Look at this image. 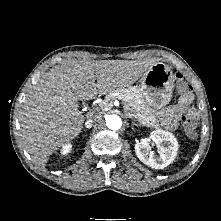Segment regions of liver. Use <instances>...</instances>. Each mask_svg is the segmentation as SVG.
<instances>
[{
    "instance_id": "obj_1",
    "label": "liver",
    "mask_w": 221,
    "mask_h": 221,
    "mask_svg": "<svg viewBox=\"0 0 221 221\" xmlns=\"http://www.w3.org/2000/svg\"><path fill=\"white\" fill-rule=\"evenodd\" d=\"M155 63L71 59L46 72L26 95L20 110V136L34 162L44 167L49 156L80 134L85 117L79 100L128 87Z\"/></svg>"
}]
</instances>
